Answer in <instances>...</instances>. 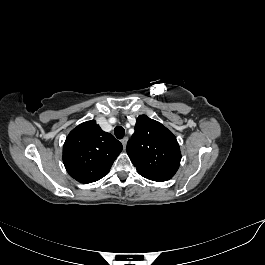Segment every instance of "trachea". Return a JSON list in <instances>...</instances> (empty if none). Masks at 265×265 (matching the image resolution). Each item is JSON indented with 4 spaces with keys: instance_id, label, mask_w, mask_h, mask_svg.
<instances>
[{
    "instance_id": "trachea-1",
    "label": "trachea",
    "mask_w": 265,
    "mask_h": 265,
    "mask_svg": "<svg viewBox=\"0 0 265 265\" xmlns=\"http://www.w3.org/2000/svg\"><path fill=\"white\" fill-rule=\"evenodd\" d=\"M114 134L118 139H122L125 135V130L122 126H117L114 129Z\"/></svg>"
}]
</instances>
